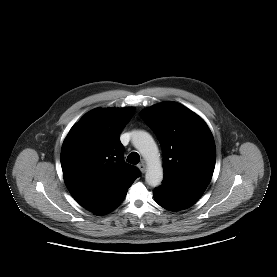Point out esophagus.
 Instances as JSON below:
<instances>
[{
  "label": "esophagus",
  "mask_w": 277,
  "mask_h": 277,
  "mask_svg": "<svg viewBox=\"0 0 277 277\" xmlns=\"http://www.w3.org/2000/svg\"><path fill=\"white\" fill-rule=\"evenodd\" d=\"M138 168L142 173H145L146 165L143 162L138 165Z\"/></svg>",
  "instance_id": "obj_1"
}]
</instances>
